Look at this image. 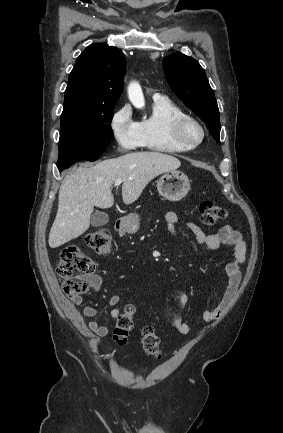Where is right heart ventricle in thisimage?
<instances>
[{
	"label": "right heart ventricle",
	"mask_w": 283,
	"mask_h": 433,
	"mask_svg": "<svg viewBox=\"0 0 283 433\" xmlns=\"http://www.w3.org/2000/svg\"><path fill=\"white\" fill-rule=\"evenodd\" d=\"M186 114L173 101L166 98L154 99L151 114L140 122V129L147 145L155 146L156 151L165 153L180 152L170 136L173 120Z\"/></svg>",
	"instance_id": "obj_1"
}]
</instances>
